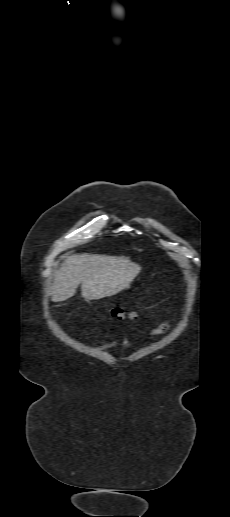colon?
Instances as JSON below:
<instances>
[{
    "label": "colon",
    "mask_w": 230,
    "mask_h": 517,
    "mask_svg": "<svg viewBox=\"0 0 230 517\" xmlns=\"http://www.w3.org/2000/svg\"><path fill=\"white\" fill-rule=\"evenodd\" d=\"M111 315L113 318L119 320L134 317V314L132 312L127 311L122 305H115L111 309Z\"/></svg>",
    "instance_id": "obj_1"
}]
</instances>
